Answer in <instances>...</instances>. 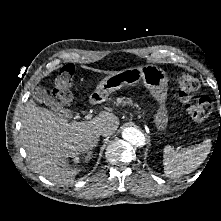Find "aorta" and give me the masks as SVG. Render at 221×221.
I'll return each mask as SVG.
<instances>
[{
    "label": "aorta",
    "instance_id": "1",
    "mask_svg": "<svg viewBox=\"0 0 221 221\" xmlns=\"http://www.w3.org/2000/svg\"><path fill=\"white\" fill-rule=\"evenodd\" d=\"M122 137L133 146L142 147L145 145V137L143 133L134 127L125 128L122 131Z\"/></svg>",
    "mask_w": 221,
    "mask_h": 221
}]
</instances>
